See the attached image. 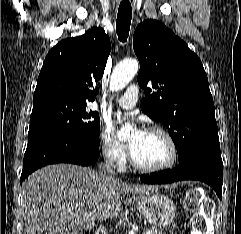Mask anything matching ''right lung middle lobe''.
<instances>
[{
    "label": "right lung middle lobe",
    "instance_id": "1",
    "mask_svg": "<svg viewBox=\"0 0 241 234\" xmlns=\"http://www.w3.org/2000/svg\"><path fill=\"white\" fill-rule=\"evenodd\" d=\"M58 134L91 148L100 145V119L85 104L50 102L33 106L28 138Z\"/></svg>",
    "mask_w": 241,
    "mask_h": 234
}]
</instances>
